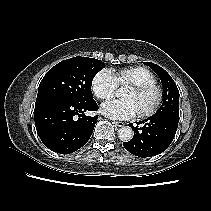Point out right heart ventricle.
<instances>
[{"label": "right heart ventricle", "mask_w": 211, "mask_h": 211, "mask_svg": "<svg viewBox=\"0 0 211 211\" xmlns=\"http://www.w3.org/2000/svg\"><path fill=\"white\" fill-rule=\"evenodd\" d=\"M113 74L120 85L155 82V75L142 66L126 67L113 71Z\"/></svg>", "instance_id": "obj_1"}]
</instances>
